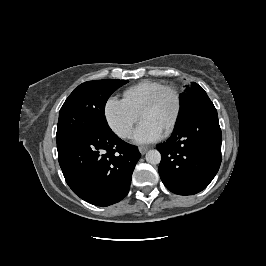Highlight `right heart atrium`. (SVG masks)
Masks as SVG:
<instances>
[{"mask_svg": "<svg viewBox=\"0 0 266 266\" xmlns=\"http://www.w3.org/2000/svg\"><path fill=\"white\" fill-rule=\"evenodd\" d=\"M104 118L110 129L120 138H129L140 114L124 99L109 97L104 104Z\"/></svg>", "mask_w": 266, "mask_h": 266, "instance_id": "1", "label": "right heart atrium"}]
</instances>
